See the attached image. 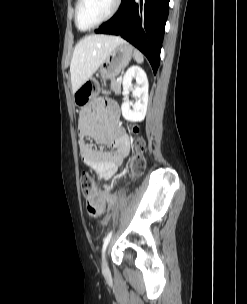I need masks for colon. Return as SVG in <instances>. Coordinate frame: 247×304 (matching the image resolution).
I'll return each instance as SVG.
<instances>
[{
    "label": "colon",
    "mask_w": 247,
    "mask_h": 304,
    "mask_svg": "<svg viewBox=\"0 0 247 304\" xmlns=\"http://www.w3.org/2000/svg\"><path fill=\"white\" fill-rule=\"evenodd\" d=\"M144 142L142 139L137 138L135 141V154L133 155L129 171L132 177H137L141 175L145 168V160L143 157ZM80 184L82 193L87 197L88 202V212L90 216L96 217L102 213L104 210L105 204L109 200L108 191H95L96 181L93 175L85 171L81 174Z\"/></svg>",
    "instance_id": "colon-1"
}]
</instances>
